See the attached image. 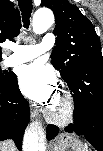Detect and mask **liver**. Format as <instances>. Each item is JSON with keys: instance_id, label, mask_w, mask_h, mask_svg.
I'll return each instance as SVG.
<instances>
[{"instance_id": "liver-1", "label": "liver", "mask_w": 103, "mask_h": 151, "mask_svg": "<svg viewBox=\"0 0 103 151\" xmlns=\"http://www.w3.org/2000/svg\"><path fill=\"white\" fill-rule=\"evenodd\" d=\"M1 151H16V148L14 144H9L7 147H4L3 144H1Z\"/></svg>"}]
</instances>
